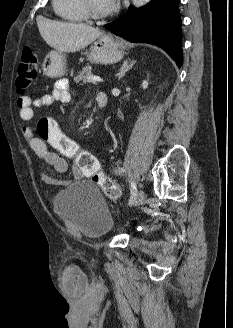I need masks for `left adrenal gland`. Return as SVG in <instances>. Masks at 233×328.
I'll use <instances>...</instances> for the list:
<instances>
[{
    "mask_svg": "<svg viewBox=\"0 0 233 328\" xmlns=\"http://www.w3.org/2000/svg\"><path fill=\"white\" fill-rule=\"evenodd\" d=\"M136 63V61L134 60H130L127 59L123 62L122 66L120 67L119 73L117 74L118 76V80H120L122 77L125 76V73L128 72L130 69H132V67L134 66V64Z\"/></svg>",
    "mask_w": 233,
    "mask_h": 328,
    "instance_id": "1",
    "label": "left adrenal gland"
}]
</instances>
